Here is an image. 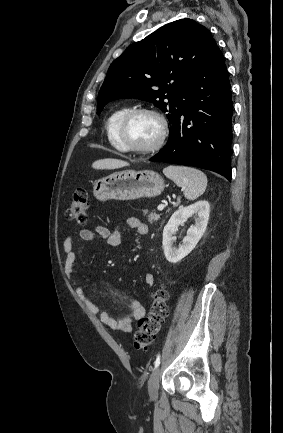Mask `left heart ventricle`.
Listing matches in <instances>:
<instances>
[{"label":"left heart ventricle","mask_w":283,"mask_h":433,"mask_svg":"<svg viewBox=\"0 0 283 433\" xmlns=\"http://www.w3.org/2000/svg\"><path fill=\"white\" fill-rule=\"evenodd\" d=\"M161 123L152 114H139L127 127L125 137L129 143L138 148H150L159 139Z\"/></svg>","instance_id":"b2bd125f"}]
</instances>
